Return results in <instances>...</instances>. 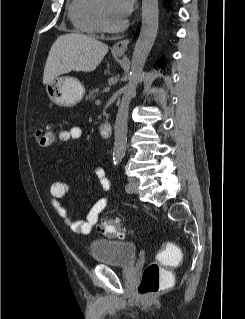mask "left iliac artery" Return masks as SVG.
<instances>
[{"label": "left iliac artery", "mask_w": 245, "mask_h": 319, "mask_svg": "<svg viewBox=\"0 0 245 319\" xmlns=\"http://www.w3.org/2000/svg\"><path fill=\"white\" fill-rule=\"evenodd\" d=\"M119 163V160H115L114 161V164L116 165V164H118ZM125 189L128 191L129 189H130V186H129V184H127L126 186H125Z\"/></svg>", "instance_id": "obj_1"}]
</instances>
